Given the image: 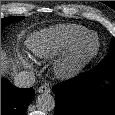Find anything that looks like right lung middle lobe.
<instances>
[{
    "label": "right lung middle lobe",
    "instance_id": "obj_1",
    "mask_svg": "<svg viewBox=\"0 0 115 115\" xmlns=\"http://www.w3.org/2000/svg\"><path fill=\"white\" fill-rule=\"evenodd\" d=\"M24 17H8V18H4L1 19V30L3 29L4 26H6L7 24L22 20Z\"/></svg>",
    "mask_w": 115,
    "mask_h": 115
}]
</instances>
